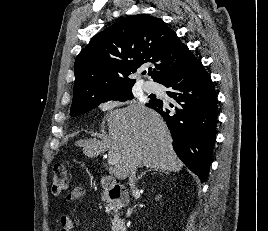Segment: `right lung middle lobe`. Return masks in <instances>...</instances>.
Here are the masks:
<instances>
[{"instance_id": "dd1d6c3e", "label": "right lung middle lobe", "mask_w": 268, "mask_h": 231, "mask_svg": "<svg viewBox=\"0 0 268 231\" xmlns=\"http://www.w3.org/2000/svg\"><path fill=\"white\" fill-rule=\"evenodd\" d=\"M132 98H133V95H132L131 87L123 88L97 100L73 103L71 105L70 115L72 117H75L79 114L86 113L90 111L91 109L96 108L101 103L109 101V100L125 101V100H130Z\"/></svg>"}]
</instances>
